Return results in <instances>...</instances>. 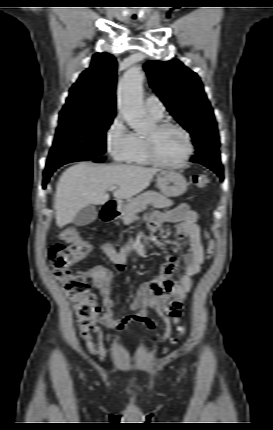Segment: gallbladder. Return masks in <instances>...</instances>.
I'll list each match as a JSON object with an SVG mask.
<instances>
[{"label": "gallbladder", "mask_w": 273, "mask_h": 430, "mask_svg": "<svg viewBox=\"0 0 273 430\" xmlns=\"http://www.w3.org/2000/svg\"><path fill=\"white\" fill-rule=\"evenodd\" d=\"M97 211L94 205L82 208L75 216L74 223L77 226H85L92 223L97 218Z\"/></svg>", "instance_id": "obj_1"}]
</instances>
